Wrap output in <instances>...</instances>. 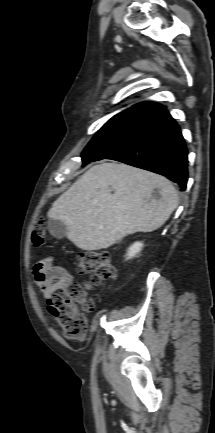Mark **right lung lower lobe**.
Segmentation results:
<instances>
[{
    "label": "right lung lower lobe",
    "instance_id": "1",
    "mask_svg": "<svg viewBox=\"0 0 215 433\" xmlns=\"http://www.w3.org/2000/svg\"><path fill=\"white\" fill-rule=\"evenodd\" d=\"M187 148L181 130L164 108L124 148L105 159L158 173L186 189Z\"/></svg>",
    "mask_w": 215,
    "mask_h": 433
}]
</instances>
